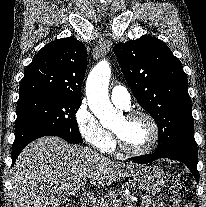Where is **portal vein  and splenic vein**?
<instances>
[{
  "mask_svg": "<svg viewBox=\"0 0 206 207\" xmlns=\"http://www.w3.org/2000/svg\"><path fill=\"white\" fill-rule=\"evenodd\" d=\"M83 188V184L77 185L74 187L69 194L74 195L76 192L80 191Z\"/></svg>",
  "mask_w": 206,
  "mask_h": 207,
  "instance_id": "portal-vein-and-splenic-vein-1",
  "label": "portal vein and splenic vein"
}]
</instances>
